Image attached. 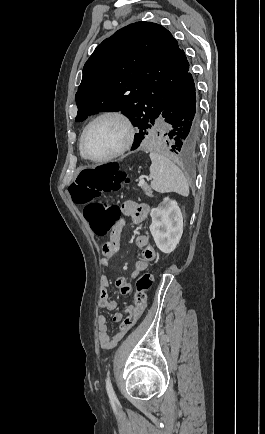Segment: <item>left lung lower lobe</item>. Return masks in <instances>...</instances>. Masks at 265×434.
<instances>
[{
	"label": "left lung lower lobe",
	"mask_w": 265,
	"mask_h": 434,
	"mask_svg": "<svg viewBox=\"0 0 265 434\" xmlns=\"http://www.w3.org/2000/svg\"><path fill=\"white\" fill-rule=\"evenodd\" d=\"M160 119L169 124L167 145L177 154L191 155L197 151L200 138L199 112L196 106V91L193 77L188 70L181 83L162 109ZM135 135L132 150L137 149L144 139L143 132Z\"/></svg>",
	"instance_id": "0a47b994"
}]
</instances>
